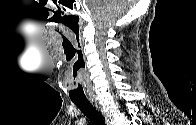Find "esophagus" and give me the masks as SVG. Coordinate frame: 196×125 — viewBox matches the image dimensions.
<instances>
[{
  "label": "esophagus",
  "instance_id": "esophagus-1",
  "mask_svg": "<svg viewBox=\"0 0 196 125\" xmlns=\"http://www.w3.org/2000/svg\"><path fill=\"white\" fill-rule=\"evenodd\" d=\"M89 101L92 103V105L101 112L102 116L104 117V121L106 123V125H108V118L105 116V114L102 111V108L100 106V104L98 103V101L94 98H90Z\"/></svg>",
  "mask_w": 196,
  "mask_h": 125
}]
</instances>
